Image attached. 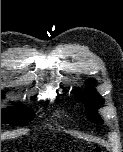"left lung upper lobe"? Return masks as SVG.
<instances>
[{"instance_id":"1","label":"left lung upper lobe","mask_w":123,"mask_h":152,"mask_svg":"<svg viewBox=\"0 0 123 152\" xmlns=\"http://www.w3.org/2000/svg\"><path fill=\"white\" fill-rule=\"evenodd\" d=\"M93 79H88L87 84L91 86ZM81 99L87 103V117L90 121L95 123H101L100 117L96 114V110L103 104L104 100L101 96L92 88H89L81 95Z\"/></svg>"}]
</instances>
